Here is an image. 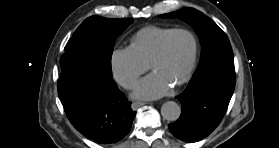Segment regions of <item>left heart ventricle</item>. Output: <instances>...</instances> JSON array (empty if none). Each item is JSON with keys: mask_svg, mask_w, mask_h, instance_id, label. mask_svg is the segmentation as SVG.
I'll return each mask as SVG.
<instances>
[{"mask_svg": "<svg viewBox=\"0 0 279 148\" xmlns=\"http://www.w3.org/2000/svg\"><path fill=\"white\" fill-rule=\"evenodd\" d=\"M193 40L186 33H178L171 37L166 45L165 55L153 64L151 70L172 84L187 71L192 55Z\"/></svg>", "mask_w": 279, "mask_h": 148, "instance_id": "b2bd125f", "label": "left heart ventricle"}]
</instances>
